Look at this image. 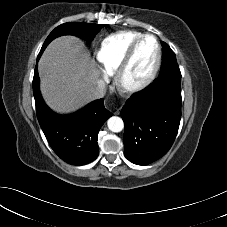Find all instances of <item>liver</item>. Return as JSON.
I'll return each instance as SVG.
<instances>
[{
  "label": "liver",
  "mask_w": 227,
  "mask_h": 227,
  "mask_svg": "<svg viewBox=\"0 0 227 227\" xmlns=\"http://www.w3.org/2000/svg\"><path fill=\"white\" fill-rule=\"evenodd\" d=\"M41 92L55 111H75L93 100L91 91L99 81L90 54L81 40L63 36L53 40L38 63Z\"/></svg>",
  "instance_id": "obj_1"
}]
</instances>
